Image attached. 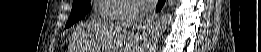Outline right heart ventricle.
<instances>
[{
	"label": "right heart ventricle",
	"instance_id": "obj_1",
	"mask_svg": "<svg viewBox=\"0 0 261 52\" xmlns=\"http://www.w3.org/2000/svg\"><path fill=\"white\" fill-rule=\"evenodd\" d=\"M116 9V6L110 4H102L99 7V19L107 20V15L110 11Z\"/></svg>",
	"mask_w": 261,
	"mask_h": 52
}]
</instances>
